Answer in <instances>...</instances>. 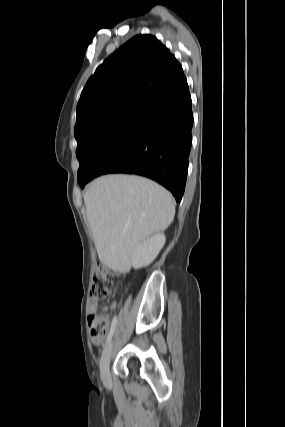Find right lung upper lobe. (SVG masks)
Wrapping results in <instances>:
<instances>
[{
	"label": "right lung upper lobe",
	"mask_w": 285,
	"mask_h": 427,
	"mask_svg": "<svg viewBox=\"0 0 285 427\" xmlns=\"http://www.w3.org/2000/svg\"><path fill=\"white\" fill-rule=\"evenodd\" d=\"M184 76L177 59L152 35H137L111 54L86 83L75 131L126 106L145 105Z\"/></svg>",
	"instance_id": "1"
}]
</instances>
